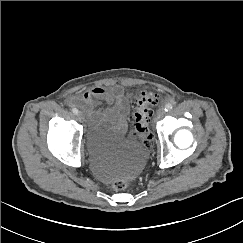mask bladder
<instances>
[{"label": "bladder", "instance_id": "obj_1", "mask_svg": "<svg viewBox=\"0 0 243 243\" xmlns=\"http://www.w3.org/2000/svg\"><path fill=\"white\" fill-rule=\"evenodd\" d=\"M90 151L99 155L114 153L117 156L116 175L120 177L137 174L144 160L139 141L128 137L113 117L95 119L86 134Z\"/></svg>", "mask_w": 243, "mask_h": 243}]
</instances>
